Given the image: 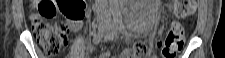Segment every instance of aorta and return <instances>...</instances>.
Listing matches in <instances>:
<instances>
[{"label":"aorta","instance_id":"aorta-1","mask_svg":"<svg viewBox=\"0 0 225 58\" xmlns=\"http://www.w3.org/2000/svg\"><path fill=\"white\" fill-rule=\"evenodd\" d=\"M116 2H117V0H110V6H109L110 12L114 16L118 15V13H119L118 5Z\"/></svg>","mask_w":225,"mask_h":58}]
</instances>
